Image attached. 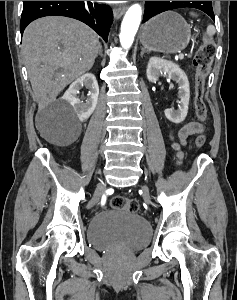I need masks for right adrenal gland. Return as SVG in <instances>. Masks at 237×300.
<instances>
[{
	"instance_id": "right-adrenal-gland-1",
	"label": "right adrenal gland",
	"mask_w": 237,
	"mask_h": 300,
	"mask_svg": "<svg viewBox=\"0 0 237 300\" xmlns=\"http://www.w3.org/2000/svg\"><path fill=\"white\" fill-rule=\"evenodd\" d=\"M99 55H102V47H101V45L99 47Z\"/></svg>"
}]
</instances>
